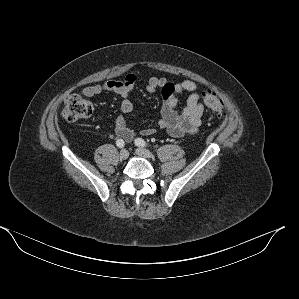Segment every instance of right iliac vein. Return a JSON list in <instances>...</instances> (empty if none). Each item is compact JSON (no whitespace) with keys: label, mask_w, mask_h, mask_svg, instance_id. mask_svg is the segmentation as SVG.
Instances as JSON below:
<instances>
[{"label":"right iliac vein","mask_w":299,"mask_h":299,"mask_svg":"<svg viewBox=\"0 0 299 299\" xmlns=\"http://www.w3.org/2000/svg\"><path fill=\"white\" fill-rule=\"evenodd\" d=\"M119 156L122 160H126L129 157V152L126 149H122Z\"/></svg>","instance_id":"obj_1"}]
</instances>
